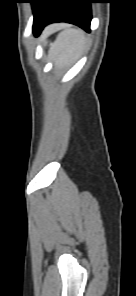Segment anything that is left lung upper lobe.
I'll return each mask as SVG.
<instances>
[{"label": "left lung upper lobe", "instance_id": "left-lung-upper-lobe-1", "mask_svg": "<svg viewBox=\"0 0 136 296\" xmlns=\"http://www.w3.org/2000/svg\"><path fill=\"white\" fill-rule=\"evenodd\" d=\"M53 0H30L33 9L34 23L42 20L49 12Z\"/></svg>", "mask_w": 136, "mask_h": 296}]
</instances>
